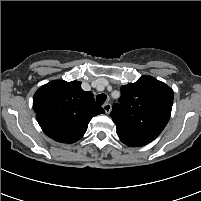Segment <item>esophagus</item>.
Returning <instances> with one entry per match:
<instances>
[{
    "mask_svg": "<svg viewBox=\"0 0 201 201\" xmlns=\"http://www.w3.org/2000/svg\"><path fill=\"white\" fill-rule=\"evenodd\" d=\"M103 109H104V111L107 113V114H109L110 112H111V109H112V106H111V104L110 103H105L104 105H103Z\"/></svg>",
    "mask_w": 201,
    "mask_h": 201,
    "instance_id": "1",
    "label": "esophagus"
}]
</instances>
